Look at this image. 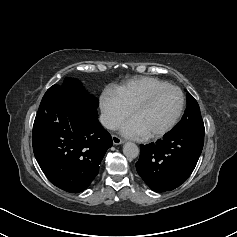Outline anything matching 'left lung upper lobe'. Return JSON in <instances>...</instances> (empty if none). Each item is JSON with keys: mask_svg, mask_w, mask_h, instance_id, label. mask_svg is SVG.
<instances>
[{"mask_svg": "<svg viewBox=\"0 0 237 237\" xmlns=\"http://www.w3.org/2000/svg\"><path fill=\"white\" fill-rule=\"evenodd\" d=\"M187 108L181 121L171 131L172 133L188 131V130H203L204 123L201 118L200 108L194 97L187 92Z\"/></svg>", "mask_w": 237, "mask_h": 237, "instance_id": "1", "label": "left lung upper lobe"}]
</instances>
